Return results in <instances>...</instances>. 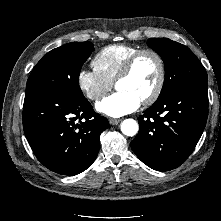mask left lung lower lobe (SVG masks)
I'll return each instance as SVG.
<instances>
[{
    "label": "left lung lower lobe",
    "instance_id": "obj_1",
    "mask_svg": "<svg viewBox=\"0 0 221 221\" xmlns=\"http://www.w3.org/2000/svg\"><path fill=\"white\" fill-rule=\"evenodd\" d=\"M207 116V82L187 84L157 100L139 116V132L131 148L154 170L175 169L194 150Z\"/></svg>",
    "mask_w": 221,
    "mask_h": 221
}]
</instances>
